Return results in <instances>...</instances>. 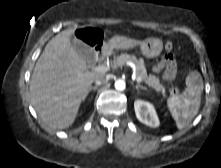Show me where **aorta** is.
Listing matches in <instances>:
<instances>
[{"mask_svg": "<svg viewBox=\"0 0 221 168\" xmlns=\"http://www.w3.org/2000/svg\"><path fill=\"white\" fill-rule=\"evenodd\" d=\"M115 88L118 91H123L126 88V83L123 80H116Z\"/></svg>", "mask_w": 221, "mask_h": 168, "instance_id": "762f6f07", "label": "aorta"}]
</instances>
